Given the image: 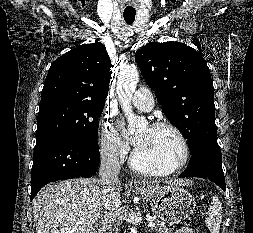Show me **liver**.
I'll list each match as a JSON object with an SVG mask.
<instances>
[{
  "mask_svg": "<svg viewBox=\"0 0 253 233\" xmlns=\"http://www.w3.org/2000/svg\"><path fill=\"white\" fill-rule=\"evenodd\" d=\"M182 181L169 184L182 185ZM122 190L121 184L119 185ZM102 209L100 180L80 178L47 185L34 199L37 233H90Z\"/></svg>",
  "mask_w": 253,
  "mask_h": 233,
  "instance_id": "6515ba94",
  "label": "liver"
}]
</instances>
